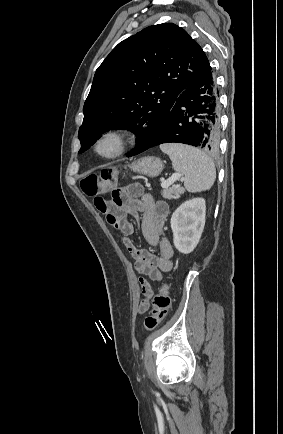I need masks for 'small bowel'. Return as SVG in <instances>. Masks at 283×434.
Masks as SVG:
<instances>
[{"label":"small bowel","mask_w":283,"mask_h":434,"mask_svg":"<svg viewBox=\"0 0 283 434\" xmlns=\"http://www.w3.org/2000/svg\"><path fill=\"white\" fill-rule=\"evenodd\" d=\"M94 204L106 215L107 222L123 235L122 243L134 259L137 272L152 281H160L163 273L172 269L171 258L174 251L164 233V224L168 216V207L164 202L154 201L150 195L144 193L140 185L133 184L113 190L112 200L95 197ZM128 215L140 217V231L148 245L152 249H158V254L135 246L129 238L134 232V227L128 220ZM139 284L143 299L139 304L138 313L143 314L149 308L153 288L145 277L139 278Z\"/></svg>","instance_id":"small-bowel-1"}]
</instances>
